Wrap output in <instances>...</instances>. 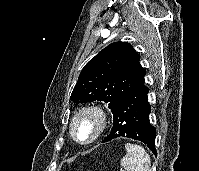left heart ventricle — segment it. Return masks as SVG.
<instances>
[{
    "label": "left heart ventricle",
    "instance_id": "b2bd125f",
    "mask_svg": "<svg viewBox=\"0 0 199 171\" xmlns=\"http://www.w3.org/2000/svg\"><path fill=\"white\" fill-rule=\"evenodd\" d=\"M96 125L93 118L86 116L78 120L75 131L78 138L82 141H86L94 134Z\"/></svg>",
    "mask_w": 199,
    "mask_h": 171
}]
</instances>
